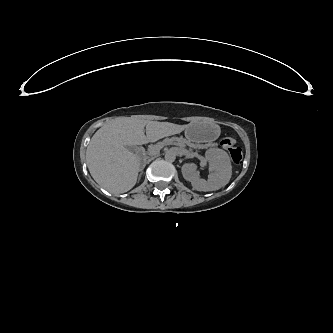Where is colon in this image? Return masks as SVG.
<instances>
[{
    "label": "colon",
    "instance_id": "obj_1",
    "mask_svg": "<svg viewBox=\"0 0 333 333\" xmlns=\"http://www.w3.org/2000/svg\"><path fill=\"white\" fill-rule=\"evenodd\" d=\"M221 144L229 152L233 163L240 165L242 162V152L237 140L233 137H226L221 141Z\"/></svg>",
    "mask_w": 333,
    "mask_h": 333
}]
</instances>
